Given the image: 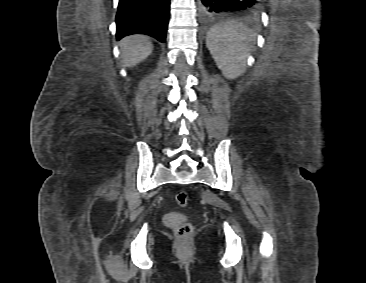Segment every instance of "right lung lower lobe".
Returning a JSON list of instances; mask_svg holds the SVG:
<instances>
[{"mask_svg": "<svg viewBox=\"0 0 366 283\" xmlns=\"http://www.w3.org/2000/svg\"><path fill=\"white\" fill-rule=\"evenodd\" d=\"M170 0H120L116 15V37L146 34L165 42Z\"/></svg>", "mask_w": 366, "mask_h": 283, "instance_id": "right-lung-lower-lobe-1", "label": "right lung lower lobe"}]
</instances>
